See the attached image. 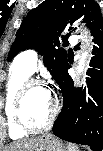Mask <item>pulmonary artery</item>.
Here are the masks:
<instances>
[{"mask_svg":"<svg viewBox=\"0 0 103 151\" xmlns=\"http://www.w3.org/2000/svg\"><path fill=\"white\" fill-rule=\"evenodd\" d=\"M69 42L72 45L76 44L77 42L76 37L73 35L70 36ZM37 62L38 53L34 49L23 51L15 59V63L29 74H32L36 70Z\"/></svg>","mask_w":103,"mask_h":151,"instance_id":"e3ab8cb5","label":"pulmonary artery"}]
</instances>
